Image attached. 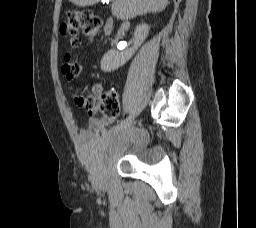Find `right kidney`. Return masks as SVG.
I'll use <instances>...</instances> for the list:
<instances>
[{
	"label": "right kidney",
	"instance_id": "ca27d5eb",
	"mask_svg": "<svg viewBox=\"0 0 256 228\" xmlns=\"http://www.w3.org/2000/svg\"><path fill=\"white\" fill-rule=\"evenodd\" d=\"M149 26L146 24L139 25L135 28L133 47L123 52H116L114 50L108 51L101 60V69L104 72H111L123 66L131 59L135 51L141 46L148 36Z\"/></svg>",
	"mask_w": 256,
	"mask_h": 228
}]
</instances>
